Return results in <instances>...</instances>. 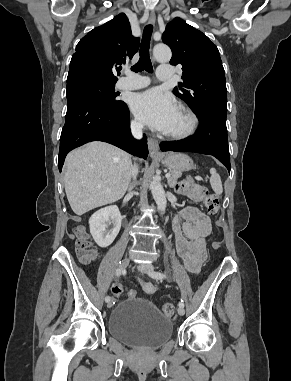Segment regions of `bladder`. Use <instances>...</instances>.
Instances as JSON below:
<instances>
[{"label":"bladder","instance_id":"obj_1","mask_svg":"<svg viewBox=\"0 0 291 381\" xmlns=\"http://www.w3.org/2000/svg\"><path fill=\"white\" fill-rule=\"evenodd\" d=\"M110 336L141 349H156L170 340L173 324L149 299L134 297L119 302L108 317Z\"/></svg>","mask_w":291,"mask_h":381}]
</instances>
